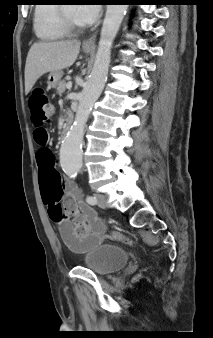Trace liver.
I'll list each match as a JSON object with an SVG mask.
<instances>
[{"mask_svg":"<svg viewBox=\"0 0 213 338\" xmlns=\"http://www.w3.org/2000/svg\"><path fill=\"white\" fill-rule=\"evenodd\" d=\"M81 42L78 40L34 43L25 64V94L44 74L68 68L76 61Z\"/></svg>","mask_w":213,"mask_h":338,"instance_id":"obj_1","label":"liver"}]
</instances>
